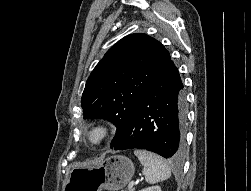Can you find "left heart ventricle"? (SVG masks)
<instances>
[{"instance_id":"b2bd125f","label":"left heart ventricle","mask_w":251,"mask_h":191,"mask_svg":"<svg viewBox=\"0 0 251 191\" xmlns=\"http://www.w3.org/2000/svg\"><path fill=\"white\" fill-rule=\"evenodd\" d=\"M86 140L94 145H97L100 142V135L97 133H90L86 136Z\"/></svg>"}]
</instances>
